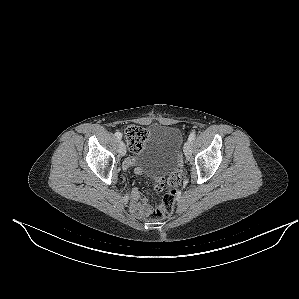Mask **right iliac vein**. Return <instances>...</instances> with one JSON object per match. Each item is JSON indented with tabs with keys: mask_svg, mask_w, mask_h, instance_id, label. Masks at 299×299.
Returning <instances> with one entry per match:
<instances>
[{
	"mask_svg": "<svg viewBox=\"0 0 299 299\" xmlns=\"http://www.w3.org/2000/svg\"><path fill=\"white\" fill-rule=\"evenodd\" d=\"M119 153L121 156H124L126 154V146L123 141H119Z\"/></svg>",
	"mask_w": 299,
	"mask_h": 299,
	"instance_id": "obj_1",
	"label": "right iliac vein"
}]
</instances>
